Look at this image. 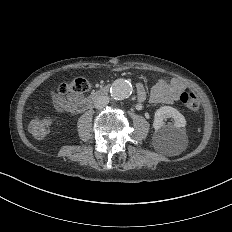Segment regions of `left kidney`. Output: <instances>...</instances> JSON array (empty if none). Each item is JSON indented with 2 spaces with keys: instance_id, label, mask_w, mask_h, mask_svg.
Listing matches in <instances>:
<instances>
[{
  "instance_id": "obj_1",
  "label": "left kidney",
  "mask_w": 232,
  "mask_h": 232,
  "mask_svg": "<svg viewBox=\"0 0 232 232\" xmlns=\"http://www.w3.org/2000/svg\"><path fill=\"white\" fill-rule=\"evenodd\" d=\"M171 118L174 122H167ZM185 119L181 113L170 106H163L155 113L154 128L156 130L154 136V143L156 145H168L172 143L179 144L182 138H185Z\"/></svg>"
}]
</instances>
